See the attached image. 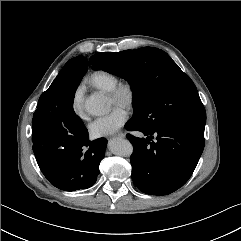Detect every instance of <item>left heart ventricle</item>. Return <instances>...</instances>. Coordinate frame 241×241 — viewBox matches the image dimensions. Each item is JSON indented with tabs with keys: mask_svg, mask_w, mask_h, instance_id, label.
<instances>
[{
	"mask_svg": "<svg viewBox=\"0 0 241 241\" xmlns=\"http://www.w3.org/2000/svg\"><path fill=\"white\" fill-rule=\"evenodd\" d=\"M110 99V103L112 106L114 105H120V106H123V104L121 102H116L115 100H113L111 97L109 98Z\"/></svg>",
	"mask_w": 241,
	"mask_h": 241,
	"instance_id": "1",
	"label": "left heart ventricle"
}]
</instances>
